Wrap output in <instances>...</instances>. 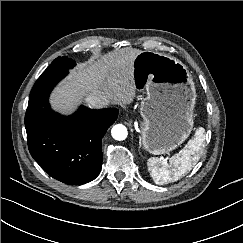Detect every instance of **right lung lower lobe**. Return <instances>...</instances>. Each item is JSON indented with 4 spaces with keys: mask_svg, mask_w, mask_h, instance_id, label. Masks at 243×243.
I'll return each mask as SVG.
<instances>
[{
    "mask_svg": "<svg viewBox=\"0 0 243 243\" xmlns=\"http://www.w3.org/2000/svg\"><path fill=\"white\" fill-rule=\"evenodd\" d=\"M68 70L44 71L34 84L25 115L31 156L53 178L72 185L94 180L102 167V138L117 119L114 108L81 106L64 117L53 112L48 98Z\"/></svg>",
    "mask_w": 243,
    "mask_h": 243,
    "instance_id": "obj_1",
    "label": "right lung lower lobe"
}]
</instances>
